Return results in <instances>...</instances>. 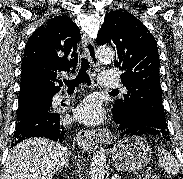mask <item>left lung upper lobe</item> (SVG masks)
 <instances>
[{"instance_id": "obj_1", "label": "left lung upper lobe", "mask_w": 183, "mask_h": 179, "mask_svg": "<svg viewBox=\"0 0 183 179\" xmlns=\"http://www.w3.org/2000/svg\"><path fill=\"white\" fill-rule=\"evenodd\" d=\"M97 43L115 49V66L128 90L113 112L167 129L159 79V55L149 30L127 11H111L98 32Z\"/></svg>"}]
</instances>
